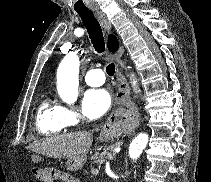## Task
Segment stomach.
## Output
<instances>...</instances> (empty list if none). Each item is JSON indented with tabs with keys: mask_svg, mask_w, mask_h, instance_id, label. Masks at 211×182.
I'll return each mask as SVG.
<instances>
[{
	"mask_svg": "<svg viewBox=\"0 0 211 182\" xmlns=\"http://www.w3.org/2000/svg\"><path fill=\"white\" fill-rule=\"evenodd\" d=\"M117 134H118L117 131L109 129L101 133L99 140L106 141L108 139L116 137ZM86 160H87V155H81L69 158L66 163L67 169L71 172L78 171L84 166Z\"/></svg>",
	"mask_w": 211,
	"mask_h": 182,
	"instance_id": "obj_1",
	"label": "stomach"
}]
</instances>
